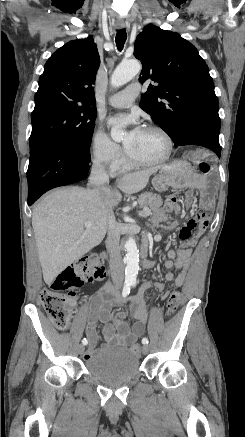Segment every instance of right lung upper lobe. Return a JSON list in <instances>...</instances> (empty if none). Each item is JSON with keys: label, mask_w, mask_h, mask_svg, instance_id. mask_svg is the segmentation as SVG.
<instances>
[{"label": "right lung upper lobe", "mask_w": 245, "mask_h": 437, "mask_svg": "<svg viewBox=\"0 0 245 437\" xmlns=\"http://www.w3.org/2000/svg\"><path fill=\"white\" fill-rule=\"evenodd\" d=\"M99 64L92 36L65 44L45 64L35 106L59 102L96 108L93 85Z\"/></svg>", "instance_id": "1"}]
</instances>
